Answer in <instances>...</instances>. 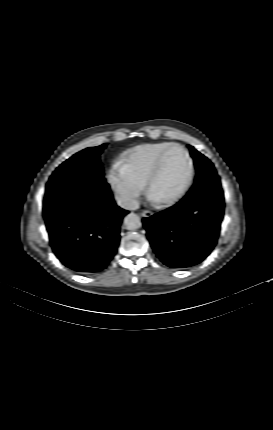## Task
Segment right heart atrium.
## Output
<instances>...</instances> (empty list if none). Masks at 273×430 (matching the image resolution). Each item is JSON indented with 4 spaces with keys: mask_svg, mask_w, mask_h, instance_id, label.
Listing matches in <instances>:
<instances>
[{
    "mask_svg": "<svg viewBox=\"0 0 273 430\" xmlns=\"http://www.w3.org/2000/svg\"><path fill=\"white\" fill-rule=\"evenodd\" d=\"M108 179L118 203L124 208H133L143 191V185L133 179L119 162L110 166Z\"/></svg>",
    "mask_w": 273,
    "mask_h": 430,
    "instance_id": "right-heart-atrium-1",
    "label": "right heart atrium"
}]
</instances>
